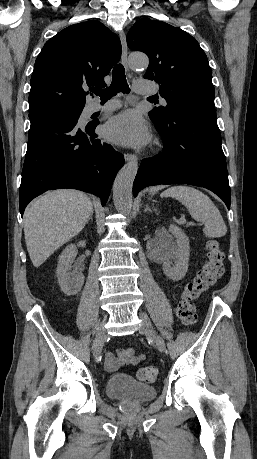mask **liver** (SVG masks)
<instances>
[{"label":"liver","mask_w":257,"mask_h":459,"mask_svg":"<svg viewBox=\"0 0 257 459\" xmlns=\"http://www.w3.org/2000/svg\"><path fill=\"white\" fill-rule=\"evenodd\" d=\"M93 213L90 198L76 190H56L36 199L24 213V236L30 259L40 267L76 236Z\"/></svg>","instance_id":"1"}]
</instances>
